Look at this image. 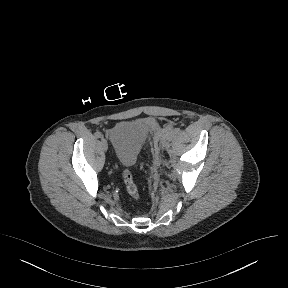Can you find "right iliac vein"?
I'll return each mask as SVG.
<instances>
[{
	"label": "right iliac vein",
	"mask_w": 288,
	"mask_h": 288,
	"mask_svg": "<svg viewBox=\"0 0 288 288\" xmlns=\"http://www.w3.org/2000/svg\"><path fill=\"white\" fill-rule=\"evenodd\" d=\"M101 146H102L103 150H105V151L108 149V144H107V141L105 139L101 140Z\"/></svg>",
	"instance_id": "obj_1"
}]
</instances>
